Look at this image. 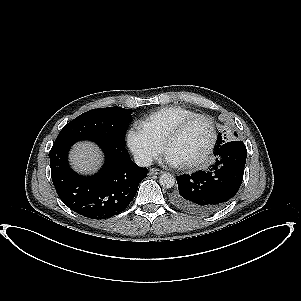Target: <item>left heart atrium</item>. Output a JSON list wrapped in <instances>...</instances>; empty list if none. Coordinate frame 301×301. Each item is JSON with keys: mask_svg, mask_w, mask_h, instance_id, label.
Masks as SVG:
<instances>
[{"mask_svg": "<svg viewBox=\"0 0 301 301\" xmlns=\"http://www.w3.org/2000/svg\"><path fill=\"white\" fill-rule=\"evenodd\" d=\"M164 160L168 165L173 167H183L186 164L182 159L170 152L166 153Z\"/></svg>", "mask_w": 301, "mask_h": 301, "instance_id": "obj_1", "label": "left heart atrium"}]
</instances>
